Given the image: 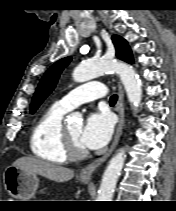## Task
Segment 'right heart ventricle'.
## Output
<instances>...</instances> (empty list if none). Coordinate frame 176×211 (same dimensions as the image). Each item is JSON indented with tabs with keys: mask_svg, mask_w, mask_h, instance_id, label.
<instances>
[{
	"mask_svg": "<svg viewBox=\"0 0 176 211\" xmlns=\"http://www.w3.org/2000/svg\"><path fill=\"white\" fill-rule=\"evenodd\" d=\"M66 112L60 104L54 103L40 115L29 140L35 157L56 164L68 161L62 141V121Z\"/></svg>",
	"mask_w": 176,
	"mask_h": 211,
	"instance_id": "right-heart-ventricle-1",
	"label": "right heart ventricle"
}]
</instances>
